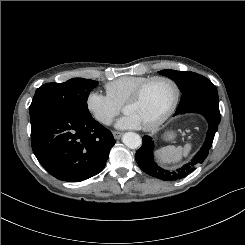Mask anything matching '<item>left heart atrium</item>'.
Instances as JSON below:
<instances>
[{"mask_svg": "<svg viewBox=\"0 0 245 245\" xmlns=\"http://www.w3.org/2000/svg\"><path fill=\"white\" fill-rule=\"evenodd\" d=\"M116 126L120 129H138L142 127L140 121L132 114H125L118 120Z\"/></svg>", "mask_w": 245, "mask_h": 245, "instance_id": "39dd6f15", "label": "left heart atrium"}]
</instances>
